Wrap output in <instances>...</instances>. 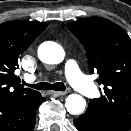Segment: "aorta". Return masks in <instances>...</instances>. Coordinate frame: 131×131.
Returning a JSON list of instances; mask_svg holds the SVG:
<instances>
[{
	"instance_id": "aorta-1",
	"label": "aorta",
	"mask_w": 131,
	"mask_h": 131,
	"mask_svg": "<svg viewBox=\"0 0 131 131\" xmlns=\"http://www.w3.org/2000/svg\"><path fill=\"white\" fill-rule=\"evenodd\" d=\"M65 53L63 48L54 42H44L39 46L38 57L47 64H58L64 59ZM86 106L85 99L78 94H71L66 98L65 107L72 115L80 114Z\"/></svg>"
}]
</instances>
